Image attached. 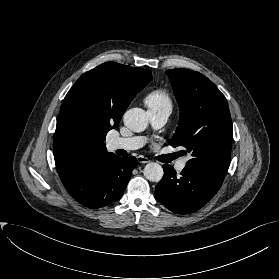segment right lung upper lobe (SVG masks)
I'll return each instance as SVG.
<instances>
[{
  "label": "right lung upper lobe",
  "mask_w": 279,
  "mask_h": 279,
  "mask_svg": "<svg viewBox=\"0 0 279 279\" xmlns=\"http://www.w3.org/2000/svg\"><path fill=\"white\" fill-rule=\"evenodd\" d=\"M151 78L150 70L106 62L75 82L63 100L53 139L60 177L89 159L113 155L106 150V134L118 126L132 99ZM80 118L94 129L84 140L78 138Z\"/></svg>",
  "instance_id": "1"
}]
</instances>
